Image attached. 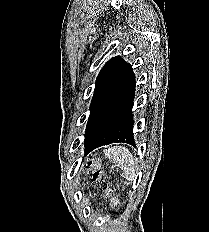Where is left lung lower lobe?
I'll return each mask as SVG.
<instances>
[{"mask_svg":"<svg viewBox=\"0 0 209 232\" xmlns=\"http://www.w3.org/2000/svg\"><path fill=\"white\" fill-rule=\"evenodd\" d=\"M135 75L129 72L123 84L109 98L90 111L85 133V153L111 143L135 145L132 107Z\"/></svg>","mask_w":209,"mask_h":232,"instance_id":"1","label":"left lung lower lobe"}]
</instances>
